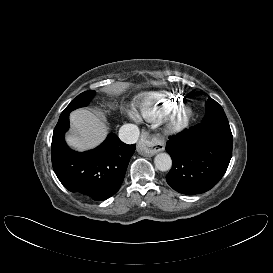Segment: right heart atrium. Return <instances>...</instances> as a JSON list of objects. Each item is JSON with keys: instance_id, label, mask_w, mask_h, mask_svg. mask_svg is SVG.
Here are the masks:
<instances>
[{"instance_id": "obj_1", "label": "right heart atrium", "mask_w": 273, "mask_h": 273, "mask_svg": "<svg viewBox=\"0 0 273 273\" xmlns=\"http://www.w3.org/2000/svg\"><path fill=\"white\" fill-rule=\"evenodd\" d=\"M128 114H129V116H130L132 119H136V118H137V114H136L134 111H129Z\"/></svg>"}]
</instances>
